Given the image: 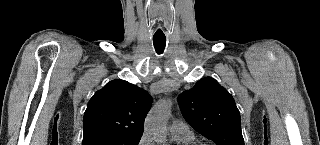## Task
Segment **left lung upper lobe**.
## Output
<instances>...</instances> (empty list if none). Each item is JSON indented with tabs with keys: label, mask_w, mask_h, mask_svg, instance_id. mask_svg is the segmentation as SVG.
Wrapping results in <instances>:
<instances>
[{
	"label": "left lung upper lobe",
	"mask_w": 320,
	"mask_h": 145,
	"mask_svg": "<svg viewBox=\"0 0 320 145\" xmlns=\"http://www.w3.org/2000/svg\"><path fill=\"white\" fill-rule=\"evenodd\" d=\"M178 103L187 122L217 145H244L240 113L231 94L205 77L181 93Z\"/></svg>",
	"instance_id": "1"
}]
</instances>
